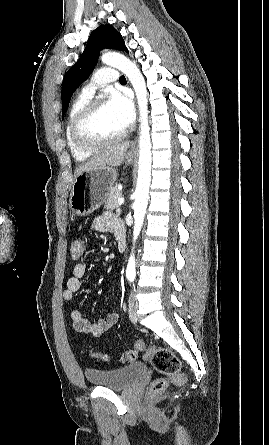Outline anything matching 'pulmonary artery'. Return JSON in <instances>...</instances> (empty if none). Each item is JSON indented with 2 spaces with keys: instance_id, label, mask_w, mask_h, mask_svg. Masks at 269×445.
<instances>
[{
  "instance_id": "obj_1",
  "label": "pulmonary artery",
  "mask_w": 269,
  "mask_h": 445,
  "mask_svg": "<svg viewBox=\"0 0 269 445\" xmlns=\"http://www.w3.org/2000/svg\"><path fill=\"white\" fill-rule=\"evenodd\" d=\"M118 79L119 73L116 69L110 67H102L95 72L91 82L84 88L83 92L92 96L98 86H102L110 82H115Z\"/></svg>"
}]
</instances>
